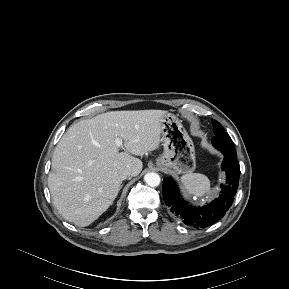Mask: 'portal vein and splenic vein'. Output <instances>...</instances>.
I'll list each match as a JSON object with an SVG mask.
<instances>
[{"label": "portal vein and splenic vein", "instance_id": "obj_1", "mask_svg": "<svg viewBox=\"0 0 289 289\" xmlns=\"http://www.w3.org/2000/svg\"><path fill=\"white\" fill-rule=\"evenodd\" d=\"M116 144H117V146H120V145L122 144V141L117 138V139H116Z\"/></svg>", "mask_w": 289, "mask_h": 289}]
</instances>
